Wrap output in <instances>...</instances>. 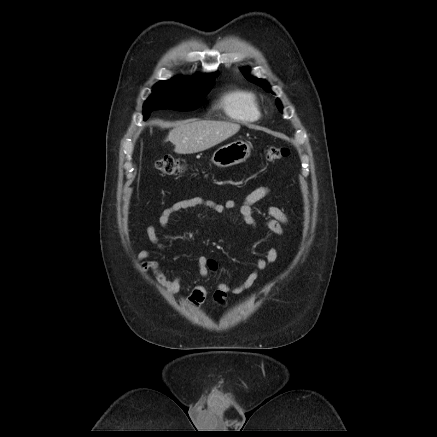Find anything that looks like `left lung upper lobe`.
<instances>
[{"label": "left lung upper lobe", "instance_id": "1", "mask_svg": "<svg viewBox=\"0 0 437 437\" xmlns=\"http://www.w3.org/2000/svg\"><path fill=\"white\" fill-rule=\"evenodd\" d=\"M241 71L243 72L244 76H245V77H246L250 82L255 83V84H257V85L263 87L266 91L273 93V92L271 91V89H270L269 84H268L265 80L250 77L246 68L241 69ZM276 105H277L279 111L282 112V105H281V102H280L279 99H276Z\"/></svg>", "mask_w": 437, "mask_h": 437}]
</instances>
